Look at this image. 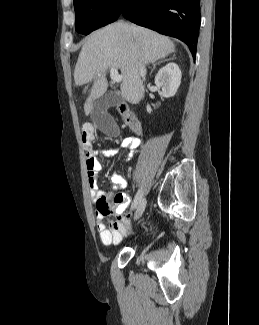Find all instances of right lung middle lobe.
<instances>
[{
	"label": "right lung middle lobe",
	"mask_w": 259,
	"mask_h": 325,
	"mask_svg": "<svg viewBox=\"0 0 259 325\" xmlns=\"http://www.w3.org/2000/svg\"><path fill=\"white\" fill-rule=\"evenodd\" d=\"M126 0H74L75 28L82 34L114 22Z\"/></svg>",
	"instance_id": "dd1d6c3e"
}]
</instances>
